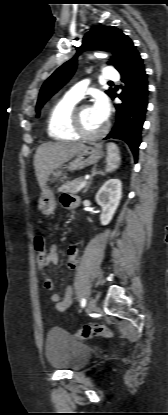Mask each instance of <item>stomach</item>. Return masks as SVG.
<instances>
[{
    "instance_id": "stomach-1",
    "label": "stomach",
    "mask_w": 168,
    "mask_h": 415,
    "mask_svg": "<svg viewBox=\"0 0 168 415\" xmlns=\"http://www.w3.org/2000/svg\"><path fill=\"white\" fill-rule=\"evenodd\" d=\"M103 156V151L100 147L97 146H86L79 151L76 155L75 159L71 161L68 165L59 167L56 171L52 172L53 179L52 181L56 180L62 174V169H68L69 171L74 170H81L87 166L96 164ZM38 208L44 215H51L55 208L56 202L52 190L45 186L42 189L41 197L39 199Z\"/></svg>"
}]
</instances>
